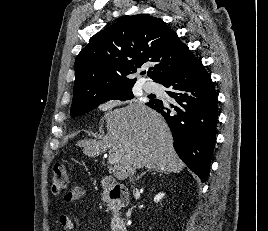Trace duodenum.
I'll return each mask as SVG.
<instances>
[{
  "instance_id": "410a0bca",
  "label": "duodenum",
  "mask_w": 268,
  "mask_h": 231,
  "mask_svg": "<svg viewBox=\"0 0 268 231\" xmlns=\"http://www.w3.org/2000/svg\"><path fill=\"white\" fill-rule=\"evenodd\" d=\"M101 187L112 206V231H126V223L119 213V206L127 204L129 195L127 190L118 184L113 177L105 176L101 180Z\"/></svg>"
}]
</instances>
